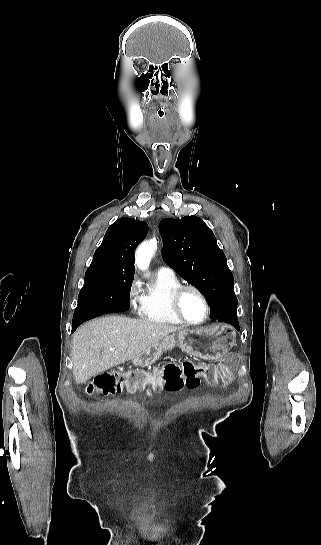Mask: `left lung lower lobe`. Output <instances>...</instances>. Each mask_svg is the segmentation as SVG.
<instances>
[{
	"mask_svg": "<svg viewBox=\"0 0 321 545\" xmlns=\"http://www.w3.org/2000/svg\"><path fill=\"white\" fill-rule=\"evenodd\" d=\"M210 317L213 320L229 323L232 326H234L237 330H239V323L237 319L236 309H230L224 312H210Z\"/></svg>",
	"mask_w": 321,
	"mask_h": 545,
	"instance_id": "left-lung-lower-lobe-1",
	"label": "left lung lower lobe"
}]
</instances>
